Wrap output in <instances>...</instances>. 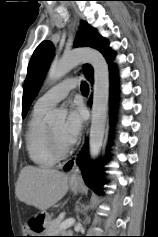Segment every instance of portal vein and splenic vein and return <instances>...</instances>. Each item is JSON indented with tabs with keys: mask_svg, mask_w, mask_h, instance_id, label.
Segmentation results:
<instances>
[{
	"mask_svg": "<svg viewBox=\"0 0 158 237\" xmlns=\"http://www.w3.org/2000/svg\"><path fill=\"white\" fill-rule=\"evenodd\" d=\"M75 223L74 218H68L60 224V229H66L71 227Z\"/></svg>",
	"mask_w": 158,
	"mask_h": 237,
	"instance_id": "obj_1",
	"label": "portal vein and splenic vein"
}]
</instances>
